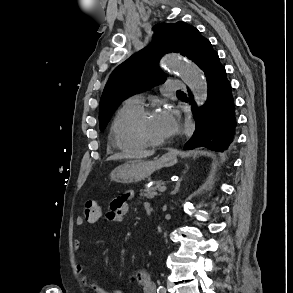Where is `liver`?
I'll return each instance as SVG.
<instances>
[{"label": "liver", "instance_id": "1", "mask_svg": "<svg viewBox=\"0 0 293 293\" xmlns=\"http://www.w3.org/2000/svg\"><path fill=\"white\" fill-rule=\"evenodd\" d=\"M154 154V151H141L133 156H127L125 154H122V153H117V154H114L110 157H108V161L110 160H121V159H124V158H128V157H133V158H145V157H149V156H152Z\"/></svg>", "mask_w": 293, "mask_h": 293}]
</instances>
